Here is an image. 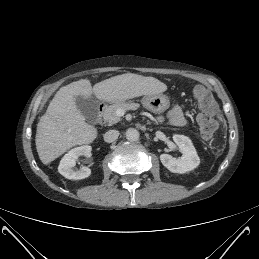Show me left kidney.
<instances>
[{
  "label": "left kidney",
  "mask_w": 259,
  "mask_h": 259,
  "mask_svg": "<svg viewBox=\"0 0 259 259\" xmlns=\"http://www.w3.org/2000/svg\"><path fill=\"white\" fill-rule=\"evenodd\" d=\"M173 140L179 147L182 157L174 158L168 154H161V163L172 173H186L193 170L200 164V159L197 155L191 140L184 135H174Z\"/></svg>",
  "instance_id": "obj_1"
}]
</instances>
